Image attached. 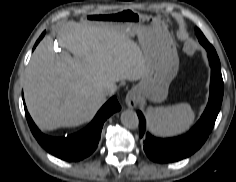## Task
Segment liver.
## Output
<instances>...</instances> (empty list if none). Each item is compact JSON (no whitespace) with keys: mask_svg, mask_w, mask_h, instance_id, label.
Segmentation results:
<instances>
[{"mask_svg":"<svg viewBox=\"0 0 236 182\" xmlns=\"http://www.w3.org/2000/svg\"><path fill=\"white\" fill-rule=\"evenodd\" d=\"M45 37L26 68L25 101L42 129L75 127L90 121L106 102L101 91H116L120 80L137 81L146 71V47L141 48L111 22L69 21L58 29L60 47Z\"/></svg>","mask_w":236,"mask_h":182,"instance_id":"1","label":"liver"}]
</instances>
